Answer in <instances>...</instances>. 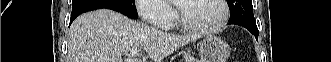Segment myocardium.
I'll return each mask as SVG.
<instances>
[{"label":"myocardium","mask_w":331,"mask_h":62,"mask_svg":"<svg viewBox=\"0 0 331 62\" xmlns=\"http://www.w3.org/2000/svg\"><path fill=\"white\" fill-rule=\"evenodd\" d=\"M217 1L220 3L222 7L223 14L220 22L216 26L210 28H203L189 24L184 18L180 2H175V7L177 10V22L179 26L188 32L196 33V34H213L221 31L226 26L229 20V8L225 0H217Z\"/></svg>","instance_id":"myocardium-1"}]
</instances>
